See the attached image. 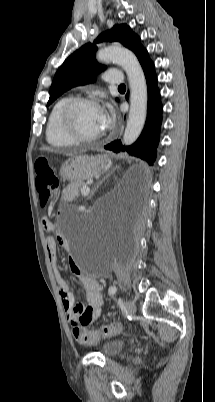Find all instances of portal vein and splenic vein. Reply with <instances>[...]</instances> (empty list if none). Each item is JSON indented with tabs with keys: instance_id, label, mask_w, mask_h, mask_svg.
<instances>
[{
	"instance_id": "18ae733b",
	"label": "portal vein and splenic vein",
	"mask_w": 215,
	"mask_h": 402,
	"mask_svg": "<svg viewBox=\"0 0 215 402\" xmlns=\"http://www.w3.org/2000/svg\"><path fill=\"white\" fill-rule=\"evenodd\" d=\"M89 192H90L89 187H84L81 190V193H82L83 196H87L89 194Z\"/></svg>"
}]
</instances>
